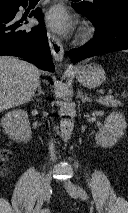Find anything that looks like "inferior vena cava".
Wrapping results in <instances>:
<instances>
[{"instance_id":"inferior-vena-cava-1","label":"inferior vena cava","mask_w":128,"mask_h":213,"mask_svg":"<svg viewBox=\"0 0 128 213\" xmlns=\"http://www.w3.org/2000/svg\"><path fill=\"white\" fill-rule=\"evenodd\" d=\"M49 150H50L51 161L54 162L56 160V157L54 152V146L52 143L49 144Z\"/></svg>"}]
</instances>
